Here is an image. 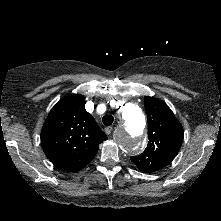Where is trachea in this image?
Here are the masks:
<instances>
[{
  "label": "trachea",
  "instance_id": "1",
  "mask_svg": "<svg viewBox=\"0 0 221 221\" xmlns=\"http://www.w3.org/2000/svg\"><path fill=\"white\" fill-rule=\"evenodd\" d=\"M102 121L105 126H111V124L114 121V118L112 115H105L103 116Z\"/></svg>",
  "mask_w": 221,
  "mask_h": 221
}]
</instances>
